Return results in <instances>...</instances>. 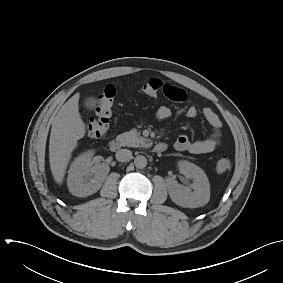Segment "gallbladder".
<instances>
[{
  "mask_svg": "<svg viewBox=\"0 0 283 283\" xmlns=\"http://www.w3.org/2000/svg\"><path fill=\"white\" fill-rule=\"evenodd\" d=\"M85 106L88 109L94 108L96 106V100L92 97L87 98L86 101H85Z\"/></svg>",
  "mask_w": 283,
  "mask_h": 283,
  "instance_id": "bac80fb5",
  "label": "gallbladder"
}]
</instances>
